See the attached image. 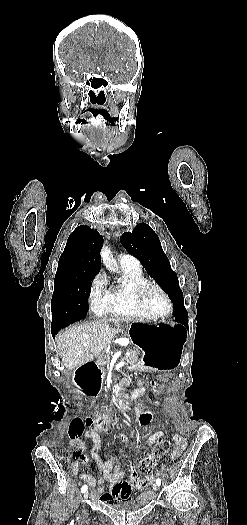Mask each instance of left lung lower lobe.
Returning <instances> with one entry per match:
<instances>
[{"label":"left lung lower lobe","instance_id":"obj_1","mask_svg":"<svg viewBox=\"0 0 247 525\" xmlns=\"http://www.w3.org/2000/svg\"><path fill=\"white\" fill-rule=\"evenodd\" d=\"M175 321H176V319H175ZM180 323L184 324L185 326H188V321H184V322H180Z\"/></svg>","mask_w":247,"mask_h":525}]
</instances>
